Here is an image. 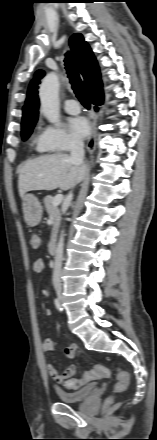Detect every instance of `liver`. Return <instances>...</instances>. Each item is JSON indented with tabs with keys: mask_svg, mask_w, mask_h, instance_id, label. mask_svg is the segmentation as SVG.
<instances>
[{
	"mask_svg": "<svg viewBox=\"0 0 157 440\" xmlns=\"http://www.w3.org/2000/svg\"><path fill=\"white\" fill-rule=\"evenodd\" d=\"M86 168L76 166L70 156L63 153L44 155L26 161L18 169V189L21 198L29 191L68 190L80 181Z\"/></svg>",
	"mask_w": 157,
	"mask_h": 440,
	"instance_id": "liver-1",
	"label": "liver"
}]
</instances>
